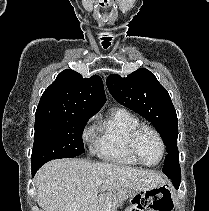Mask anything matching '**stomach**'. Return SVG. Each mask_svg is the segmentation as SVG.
Masks as SVG:
<instances>
[{
	"label": "stomach",
	"mask_w": 209,
	"mask_h": 211,
	"mask_svg": "<svg viewBox=\"0 0 209 211\" xmlns=\"http://www.w3.org/2000/svg\"><path fill=\"white\" fill-rule=\"evenodd\" d=\"M142 191H125L122 195L124 199L134 200L137 196L141 195Z\"/></svg>",
	"instance_id": "0dacf381"
}]
</instances>
